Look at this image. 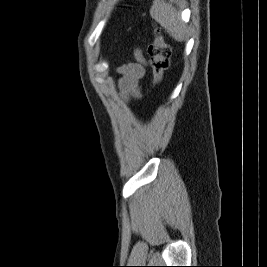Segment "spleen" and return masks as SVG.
<instances>
[{
	"label": "spleen",
	"instance_id": "obj_1",
	"mask_svg": "<svg viewBox=\"0 0 267 267\" xmlns=\"http://www.w3.org/2000/svg\"><path fill=\"white\" fill-rule=\"evenodd\" d=\"M150 15L177 41L182 42L186 36V26L180 21L177 10L163 0H154Z\"/></svg>",
	"mask_w": 267,
	"mask_h": 267
}]
</instances>
